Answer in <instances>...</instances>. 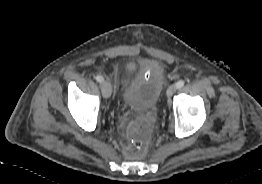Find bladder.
<instances>
[{"mask_svg": "<svg viewBox=\"0 0 262 184\" xmlns=\"http://www.w3.org/2000/svg\"><path fill=\"white\" fill-rule=\"evenodd\" d=\"M165 86V73H138L129 81L122 93L124 105L134 112L151 110L159 101Z\"/></svg>", "mask_w": 262, "mask_h": 184, "instance_id": "1", "label": "bladder"}]
</instances>
